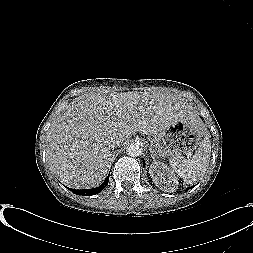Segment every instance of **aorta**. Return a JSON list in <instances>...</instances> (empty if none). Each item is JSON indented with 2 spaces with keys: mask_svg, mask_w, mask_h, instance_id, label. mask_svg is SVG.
Wrapping results in <instances>:
<instances>
[{
  "mask_svg": "<svg viewBox=\"0 0 253 253\" xmlns=\"http://www.w3.org/2000/svg\"><path fill=\"white\" fill-rule=\"evenodd\" d=\"M127 154L131 157H138L141 155L142 150L140 146L136 143H131L126 150Z\"/></svg>",
  "mask_w": 253,
  "mask_h": 253,
  "instance_id": "1",
  "label": "aorta"
}]
</instances>
